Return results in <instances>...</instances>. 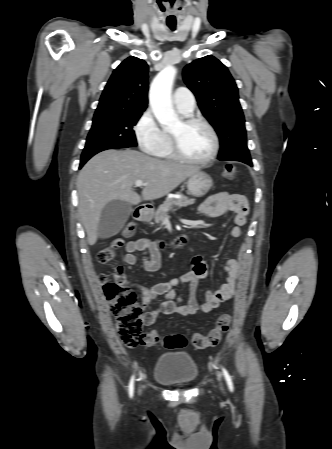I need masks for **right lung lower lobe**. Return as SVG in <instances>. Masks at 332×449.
<instances>
[{
	"mask_svg": "<svg viewBox=\"0 0 332 449\" xmlns=\"http://www.w3.org/2000/svg\"><path fill=\"white\" fill-rule=\"evenodd\" d=\"M95 155V154H94ZM93 155L85 156L81 158L80 168L89 160Z\"/></svg>",
	"mask_w": 332,
	"mask_h": 449,
	"instance_id": "obj_1",
	"label": "right lung lower lobe"
}]
</instances>
